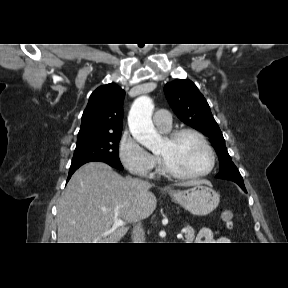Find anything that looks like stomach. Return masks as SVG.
Returning <instances> with one entry per match:
<instances>
[{"mask_svg": "<svg viewBox=\"0 0 288 288\" xmlns=\"http://www.w3.org/2000/svg\"><path fill=\"white\" fill-rule=\"evenodd\" d=\"M172 199L197 216L211 213L219 204L220 196L206 183H198L184 191L170 193Z\"/></svg>", "mask_w": 288, "mask_h": 288, "instance_id": "obj_1", "label": "stomach"}]
</instances>
